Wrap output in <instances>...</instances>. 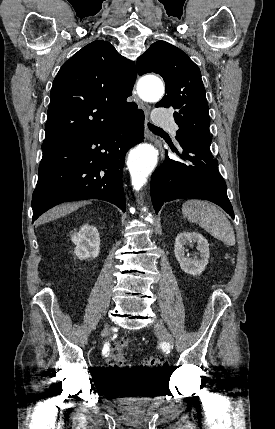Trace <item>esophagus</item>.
Masks as SVG:
<instances>
[{"mask_svg":"<svg viewBox=\"0 0 275 429\" xmlns=\"http://www.w3.org/2000/svg\"><path fill=\"white\" fill-rule=\"evenodd\" d=\"M133 95H134V97H135V100H136V102L138 103V106H139V108H141L143 111H144V113H145V116H146V118L148 117V115H149V111H150V107H149V105L148 104H146V103H143L138 97H137V95H136V92L134 91L133 92ZM145 137H146V139H148V140H151V141H154V138H153V136H152V134L149 132V130L146 128L145 129ZM163 153L161 152V158H163Z\"/></svg>","mask_w":275,"mask_h":429,"instance_id":"esophagus-1","label":"esophagus"}]
</instances>
